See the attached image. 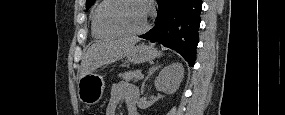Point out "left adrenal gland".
Returning a JSON list of instances; mask_svg holds the SVG:
<instances>
[{
	"mask_svg": "<svg viewBox=\"0 0 285 115\" xmlns=\"http://www.w3.org/2000/svg\"><path fill=\"white\" fill-rule=\"evenodd\" d=\"M160 66H152L151 68H149L148 74L146 76V78L144 79L142 86H141V94H144L145 91V83L148 80V78L153 74V72H155V70H157Z\"/></svg>",
	"mask_w": 285,
	"mask_h": 115,
	"instance_id": "a2214340",
	"label": "left adrenal gland"
}]
</instances>
